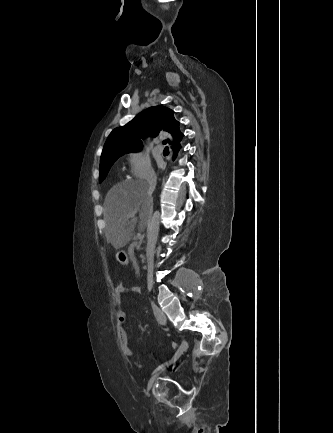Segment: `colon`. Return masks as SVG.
<instances>
[{
    "label": "colon",
    "mask_w": 333,
    "mask_h": 433,
    "mask_svg": "<svg viewBox=\"0 0 333 433\" xmlns=\"http://www.w3.org/2000/svg\"><path fill=\"white\" fill-rule=\"evenodd\" d=\"M115 263L121 265L122 268L127 269L130 266L129 261H127V250L126 249H115L114 250Z\"/></svg>",
    "instance_id": "5ec220e1"
}]
</instances>
